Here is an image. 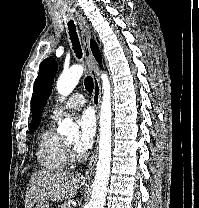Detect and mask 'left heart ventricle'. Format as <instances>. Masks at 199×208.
<instances>
[{"mask_svg":"<svg viewBox=\"0 0 199 208\" xmlns=\"http://www.w3.org/2000/svg\"><path fill=\"white\" fill-rule=\"evenodd\" d=\"M68 143L74 145L76 143V138L71 139Z\"/></svg>","mask_w":199,"mask_h":208,"instance_id":"obj_1","label":"left heart ventricle"}]
</instances>
